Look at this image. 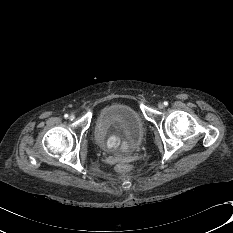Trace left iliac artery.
<instances>
[{"mask_svg": "<svg viewBox=\"0 0 233 233\" xmlns=\"http://www.w3.org/2000/svg\"><path fill=\"white\" fill-rule=\"evenodd\" d=\"M164 105H165V106H167V105H168V102H167V101H165V102H164Z\"/></svg>", "mask_w": 233, "mask_h": 233, "instance_id": "left-iliac-artery-1", "label": "left iliac artery"}]
</instances>
